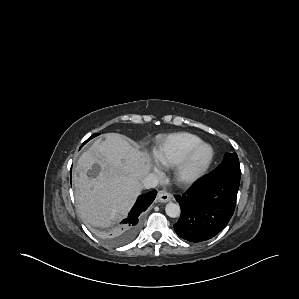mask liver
Returning <instances> with one entry per match:
<instances>
[{
    "label": "liver",
    "mask_w": 299,
    "mask_h": 299,
    "mask_svg": "<svg viewBox=\"0 0 299 299\" xmlns=\"http://www.w3.org/2000/svg\"><path fill=\"white\" fill-rule=\"evenodd\" d=\"M85 151L73 173L76 208L84 221L95 227H109L127 215L143 186L151 164L118 133H107ZM100 167L96 177L87 172Z\"/></svg>",
    "instance_id": "liver-1"
}]
</instances>
